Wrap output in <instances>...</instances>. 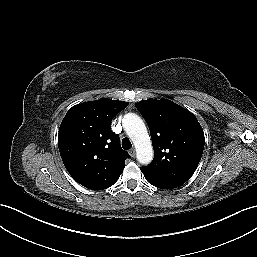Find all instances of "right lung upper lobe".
Instances as JSON below:
<instances>
[{"instance_id": "right-lung-upper-lobe-1", "label": "right lung upper lobe", "mask_w": 257, "mask_h": 257, "mask_svg": "<svg viewBox=\"0 0 257 257\" xmlns=\"http://www.w3.org/2000/svg\"><path fill=\"white\" fill-rule=\"evenodd\" d=\"M127 105L107 98L85 102L70 108L61 122L58 148L64 166L88 189L103 190L115 184L130 157L110 129L112 118Z\"/></svg>"}]
</instances>
